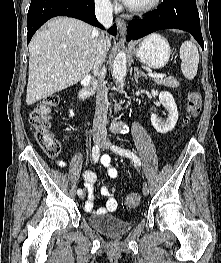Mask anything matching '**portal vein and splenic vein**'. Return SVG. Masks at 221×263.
Instances as JSON below:
<instances>
[{
    "label": "portal vein and splenic vein",
    "instance_id": "obj_1",
    "mask_svg": "<svg viewBox=\"0 0 221 263\" xmlns=\"http://www.w3.org/2000/svg\"><path fill=\"white\" fill-rule=\"evenodd\" d=\"M148 75L150 77L159 78V79H162V78H164L166 76L165 74H161V73H148Z\"/></svg>",
    "mask_w": 221,
    "mask_h": 263
}]
</instances>
